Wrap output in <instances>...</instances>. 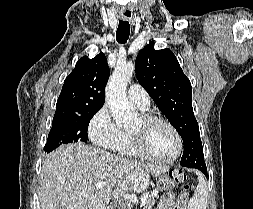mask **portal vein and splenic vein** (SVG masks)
Returning <instances> with one entry per match:
<instances>
[{
    "label": "portal vein and splenic vein",
    "instance_id": "portal-vein-and-splenic-vein-1",
    "mask_svg": "<svg viewBox=\"0 0 253 209\" xmlns=\"http://www.w3.org/2000/svg\"><path fill=\"white\" fill-rule=\"evenodd\" d=\"M105 186H106V182H98V183L95 185V188H96V190H100V189H103ZM115 192H116V191H114V193H115ZM147 199H148V194H147V193H146V194H143V195L141 196V206H142V205H145Z\"/></svg>",
    "mask_w": 253,
    "mask_h": 209
}]
</instances>
